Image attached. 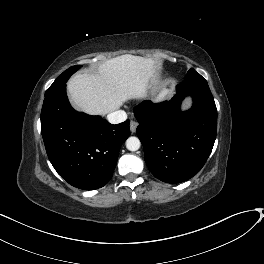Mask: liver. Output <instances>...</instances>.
Returning a JSON list of instances; mask_svg holds the SVG:
<instances>
[{
	"label": "liver",
	"instance_id": "obj_1",
	"mask_svg": "<svg viewBox=\"0 0 264 264\" xmlns=\"http://www.w3.org/2000/svg\"><path fill=\"white\" fill-rule=\"evenodd\" d=\"M155 61L125 54L101 63L96 73H77L67 83L77 109L90 115H106L131 99L144 98L154 81ZM163 90L157 97L161 99Z\"/></svg>",
	"mask_w": 264,
	"mask_h": 264
}]
</instances>
